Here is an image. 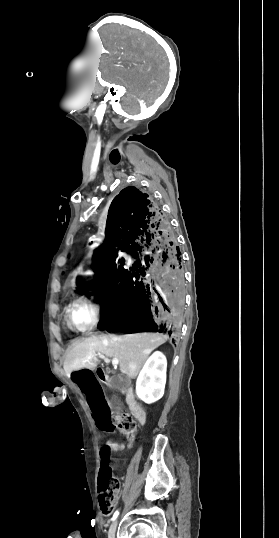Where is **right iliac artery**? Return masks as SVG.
Here are the masks:
<instances>
[{
	"instance_id": "82829eb1",
	"label": "right iliac artery",
	"mask_w": 279,
	"mask_h": 538,
	"mask_svg": "<svg viewBox=\"0 0 279 538\" xmlns=\"http://www.w3.org/2000/svg\"><path fill=\"white\" fill-rule=\"evenodd\" d=\"M118 515H119V511L116 510L113 517H112V521H114L117 518Z\"/></svg>"
}]
</instances>
